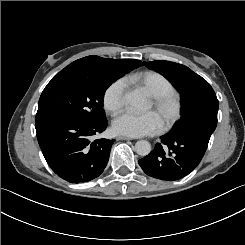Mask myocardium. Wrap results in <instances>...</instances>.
<instances>
[{"label": "myocardium", "instance_id": "obj_1", "mask_svg": "<svg viewBox=\"0 0 245 245\" xmlns=\"http://www.w3.org/2000/svg\"><path fill=\"white\" fill-rule=\"evenodd\" d=\"M152 96V107L160 117L162 126L170 128L180 117L182 103L176 93H158Z\"/></svg>", "mask_w": 245, "mask_h": 245}]
</instances>
